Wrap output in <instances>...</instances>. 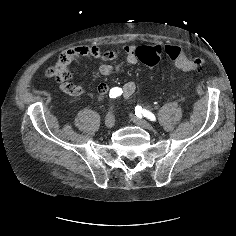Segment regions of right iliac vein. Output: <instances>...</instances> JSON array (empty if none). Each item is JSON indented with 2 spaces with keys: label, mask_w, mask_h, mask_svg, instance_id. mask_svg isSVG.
I'll list each match as a JSON object with an SVG mask.
<instances>
[{
  "label": "right iliac vein",
  "mask_w": 236,
  "mask_h": 236,
  "mask_svg": "<svg viewBox=\"0 0 236 236\" xmlns=\"http://www.w3.org/2000/svg\"><path fill=\"white\" fill-rule=\"evenodd\" d=\"M115 120L113 116V109L111 108L110 112L107 114L105 118V126L108 129H111L114 126Z\"/></svg>",
  "instance_id": "63e3f726"
}]
</instances>
